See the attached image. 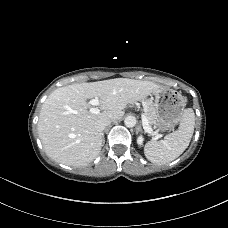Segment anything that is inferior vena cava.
Segmentation results:
<instances>
[{
  "label": "inferior vena cava",
  "instance_id": "inferior-vena-cava-1",
  "mask_svg": "<svg viewBox=\"0 0 228 228\" xmlns=\"http://www.w3.org/2000/svg\"><path fill=\"white\" fill-rule=\"evenodd\" d=\"M111 123V120H102V121H98L95 124V129L99 132H102L106 126H108Z\"/></svg>",
  "mask_w": 228,
  "mask_h": 228
}]
</instances>
